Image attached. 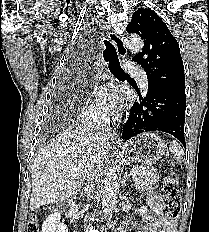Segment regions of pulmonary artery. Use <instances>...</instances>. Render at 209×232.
I'll return each instance as SVG.
<instances>
[{"label":"pulmonary artery","instance_id":"e3ab8cb5","mask_svg":"<svg viewBox=\"0 0 209 232\" xmlns=\"http://www.w3.org/2000/svg\"><path fill=\"white\" fill-rule=\"evenodd\" d=\"M125 68L126 70L133 76L137 77L138 80H139V83L140 85L146 89L147 86H148V81H147V77H146V74L145 72L140 68L138 67L137 65L133 64V63H127L125 65ZM101 78L104 79L105 78V75L102 74L101 75Z\"/></svg>","mask_w":209,"mask_h":232}]
</instances>
